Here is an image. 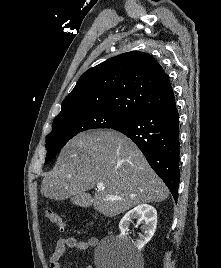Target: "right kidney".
I'll return each mask as SVG.
<instances>
[{
	"instance_id": "1",
	"label": "right kidney",
	"mask_w": 221,
	"mask_h": 268,
	"mask_svg": "<svg viewBox=\"0 0 221 268\" xmlns=\"http://www.w3.org/2000/svg\"><path fill=\"white\" fill-rule=\"evenodd\" d=\"M133 219L138 220L137 224H142L143 236L139 240L132 242L137 250H141L154 235L157 226V211L154 207L147 204L138 205L130 210L119 223L121 231L119 239L129 241L127 235Z\"/></svg>"
}]
</instances>
